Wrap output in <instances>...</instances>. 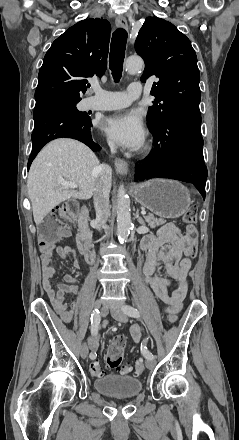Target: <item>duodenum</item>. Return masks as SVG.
I'll use <instances>...</instances> for the list:
<instances>
[{"label": "duodenum", "instance_id": "obj_1", "mask_svg": "<svg viewBox=\"0 0 239 440\" xmlns=\"http://www.w3.org/2000/svg\"><path fill=\"white\" fill-rule=\"evenodd\" d=\"M89 209L82 207L78 216L77 247L88 263L94 260L92 234L88 226Z\"/></svg>", "mask_w": 239, "mask_h": 440}]
</instances>
